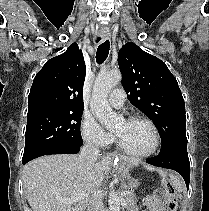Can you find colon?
I'll return each mask as SVG.
<instances>
[{
    "mask_svg": "<svg viewBox=\"0 0 209 211\" xmlns=\"http://www.w3.org/2000/svg\"><path fill=\"white\" fill-rule=\"evenodd\" d=\"M164 188L168 193L167 209L168 211H177L176 190L170 181L164 183Z\"/></svg>",
    "mask_w": 209,
    "mask_h": 211,
    "instance_id": "obj_1",
    "label": "colon"
}]
</instances>
